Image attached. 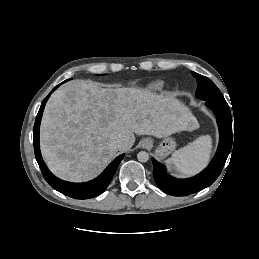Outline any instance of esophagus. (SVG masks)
Returning a JSON list of instances; mask_svg holds the SVG:
<instances>
[{"label": "esophagus", "instance_id": "34e87169", "mask_svg": "<svg viewBox=\"0 0 259 259\" xmlns=\"http://www.w3.org/2000/svg\"><path fill=\"white\" fill-rule=\"evenodd\" d=\"M152 145V142L149 139H144L142 141V147L143 148H149Z\"/></svg>", "mask_w": 259, "mask_h": 259}]
</instances>
